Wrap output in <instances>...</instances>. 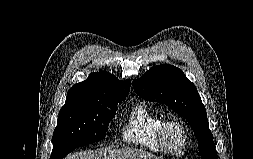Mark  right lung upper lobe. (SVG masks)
I'll return each mask as SVG.
<instances>
[{"mask_svg":"<svg viewBox=\"0 0 253 159\" xmlns=\"http://www.w3.org/2000/svg\"><path fill=\"white\" fill-rule=\"evenodd\" d=\"M130 85V80L119 81L111 73L99 71L73 85L67 93L66 101L124 99L130 91Z\"/></svg>","mask_w":253,"mask_h":159,"instance_id":"right-lung-upper-lobe-1","label":"right lung upper lobe"}]
</instances>
